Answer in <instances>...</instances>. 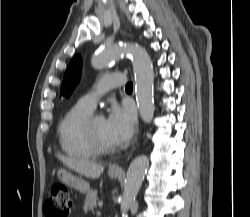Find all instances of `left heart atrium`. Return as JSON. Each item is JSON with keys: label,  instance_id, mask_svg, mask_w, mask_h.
I'll return each instance as SVG.
<instances>
[{"label": "left heart atrium", "instance_id": "1", "mask_svg": "<svg viewBox=\"0 0 250 217\" xmlns=\"http://www.w3.org/2000/svg\"><path fill=\"white\" fill-rule=\"evenodd\" d=\"M110 139L115 145H123L130 140L136 128V114L129 104H113L106 119Z\"/></svg>", "mask_w": 250, "mask_h": 217}]
</instances>
